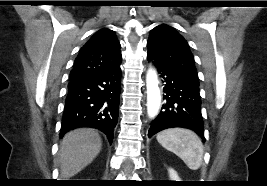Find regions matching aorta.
Listing matches in <instances>:
<instances>
[{
    "label": "aorta",
    "instance_id": "aorta-1",
    "mask_svg": "<svg viewBox=\"0 0 267 186\" xmlns=\"http://www.w3.org/2000/svg\"><path fill=\"white\" fill-rule=\"evenodd\" d=\"M159 81L155 70H148L146 76L147 86V112L149 117H155L161 104Z\"/></svg>",
    "mask_w": 267,
    "mask_h": 186
}]
</instances>
